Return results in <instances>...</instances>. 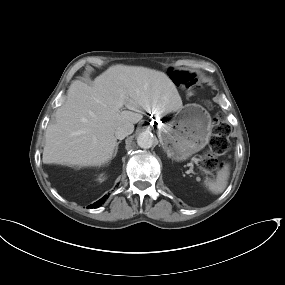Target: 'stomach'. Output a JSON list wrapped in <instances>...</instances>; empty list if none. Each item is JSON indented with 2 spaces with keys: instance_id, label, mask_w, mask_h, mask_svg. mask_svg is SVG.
<instances>
[{
  "instance_id": "1",
  "label": "stomach",
  "mask_w": 285,
  "mask_h": 285,
  "mask_svg": "<svg viewBox=\"0 0 285 285\" xmlns=\"http://www.w3.org/2000/svg\"><path fill=\"white\" fill-rule=\"evenodd\" d=\"M211 131L209 113L199 105L189 104L159 128V135L167 155L183 161L208 144Z\"/></svg>"
}]
</instances>
